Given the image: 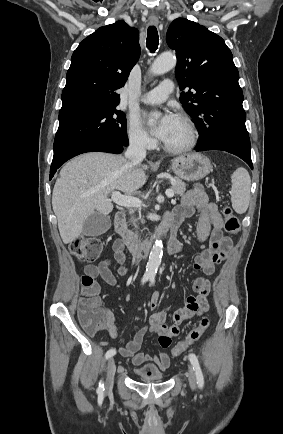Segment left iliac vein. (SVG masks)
Masks as SVG:
<instances>
[{
    "label": "left iliac vein",
    "instance_id": "left-iliac-vein-1",
    "mask_svg": "<svg viewBox=\"0 0 283 434\" xmlns=\"http://www.w3.org/2000/svg\"><path fill=\"white\" fill-rule=\"evenodd\" d=\"M187 377H188L190 387L192 389H195L196 388V377H195L194 370L192 369L191 365H188Z\"/></svg>",
    "mask_w": 283,
    "mask_h": 434
}]
</instances>
